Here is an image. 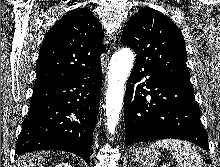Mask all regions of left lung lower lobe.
I'll return each instance as SVG.
<instances>
[{"label":"left lung lower lobe","mask_w":220,"mask_h":167,"mask_svg":"<svg viewBox=\"0 0 220 167\" xmlns=\"http://www.w3.org/2000/svg\"><path fill=\"white\" fill-rule=\"evenodd\" d=\"M126 146L165 138L191 141L209 149L189 78L135 63L124 100Z\"/></svg>","instance_id":"obj_1"}]
</instances>
